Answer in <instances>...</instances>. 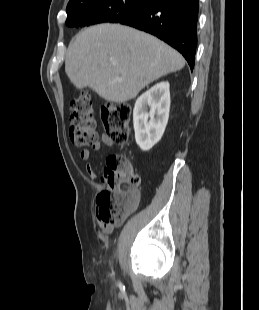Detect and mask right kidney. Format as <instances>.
I'll list each match as a JSON object with an SVG mask.
<instances>
[{"label": "right kidney", "mask_w": 259, "mask_h": 310, "mask_svg": "<svg viewBox=\"0 0 259 310\" xmlns=\"http://www.w3.org/2000/svg\"><path fill=\"white\" fill-rule=\"evenodd\" d=\"M169 87L168 81L157 83L136 100L133 110L135 140L143 151L150 150L163 136L170 110Z\"/></svg>", "instance_id": "1"}]
</instances>
